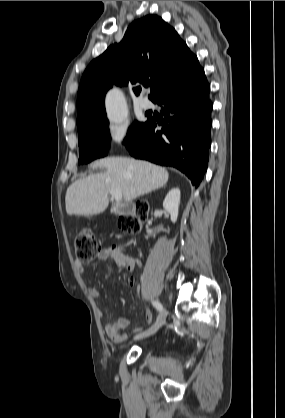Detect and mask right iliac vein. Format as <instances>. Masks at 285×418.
Listing matches in <instances>:
<instances>
[{
    "instance_id": "1",
    "label": "right iliac vein",
    "mask_w": 285,
    "mask_h": 418,
    "mask_svg": "<svg viewBox=\"0 0 285 418\" xmlns=\"http://www.w3.org/2000/svg\"><path fill=\"white\" fill-rule=\"evenodd\" d=\"M165 317H166L165 312L161 311L159 316L157 317V320L155 321V323L150 328L136 334L134 338L136 340H139V339L146 338V337L156 333L163 326V324L165 323Z\"/></svg>"
}]
</instances>
